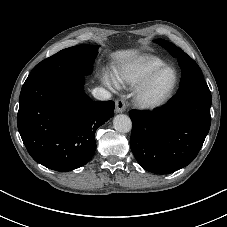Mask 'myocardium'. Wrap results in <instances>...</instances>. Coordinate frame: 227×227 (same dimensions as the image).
Listing matches in <instances>:
<instances>
[{"label": "myocardium", "instance_id": "1", "mask_svg": "<svg viewBox=\"0 0 227 227\" xmlns=\"http://www.w3.org/2000/svg\"><path fill=\"white\" fill-rule=\"evenodd\" d=\"M164 70L173 71L175 76L174 82L172 86L169 88V90L166 93H164L162 96L158 98H150L149 97L150 88L154 80L156 79V77ZM178 84H179L178 71L173 66L165 64L155 69L154 71H152L142 82H140L136 86L134 91V102L139 108L144 110L157 109L163 106L164 104H166L171 99V97L173 96L174 92L178 87Z\"/></svg>", "mask_w": 227, "mask_h": 227}]
</instances>
